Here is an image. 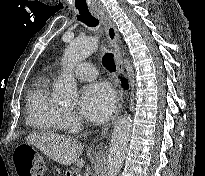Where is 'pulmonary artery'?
<instances>
[{
    "mask_svg": "<svg viewBox=\"0 0 205 176\" xmlns=\"http://www.w3.org/2000/svg\"><path fill=\"white\" fill-rule=\"evenodd\" d=\"M74 74L82 79L91 80L97 76L95 67L86 62H80L73 68Z\"/></svg>",
    "mask_w": 205,
    "mask_h": 176,
    "instance_id": "e3ab8cb5",
    "label": "pulmonary artery"
}]
</instances>
